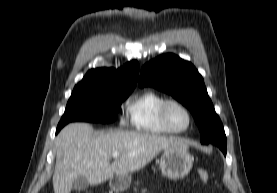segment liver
<instances>
[{
	"instance_id": "obj_1",
	"label": "liver",
	"mask_w": 277,
	"mask_h": 193,
	"mask_svg": "<svg viewBox=\"0 0 277 193\" xmlns=\"http://www.w3.org/2000/svg\"><path fill=\"white\" fill-rule=\"evenodd\" d=\"M55 147L54 193H70L73 181L80 176L97 185L114 174L125 176L140 170L162 150L187 148V144L182 139L147 132H94L87 123H71L58 134ZM113 152L120 155L111 164Z\"/></svg>"
}]
</instances>
